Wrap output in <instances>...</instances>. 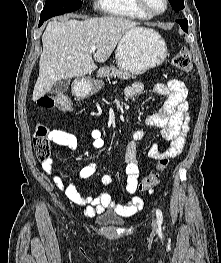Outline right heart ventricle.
<instances>
[{
    "label": "right heart ventricle",
    "mask_w": 221,
    "mask_h": 263,
    "mask_svg": "<svg viewBox=\"0 0 221 263\" xmlns=\"http://www.w3.org/2000/svg\"><path fill=\"white\" fill-rule=\"evenodd\" d=\"M99 8L112 16L146 19L148 16L141 11L135 0H98Z\"/></svg>",
    "instance_id": "1"
}]
</instances>
